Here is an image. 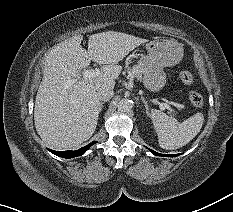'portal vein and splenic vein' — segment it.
<instances>
[{
	"label": "portal vein and splenic vein",
	"mask_w": 233,
	"mask_h": 212,
	"mask_svg": "<svg viewBox=\"0 0 233 212\" xmlns=\"http://www.w3.org/2000/svg\"><path fill=\"white\" fill-rule=\"evenodd\" d=\"M96 74H98V70H84L83 71V78L84 79H89V78L94 77ZM76 81H77V79L69 80V81H67V85L68 86L72 85ZM157 104L159 105V107H160L161 110H164L166 108L170 109V107L167 104L163 103V102H159L158 101Z\"/></svg>",
	"instance_id": "1"
}]
</instances>
